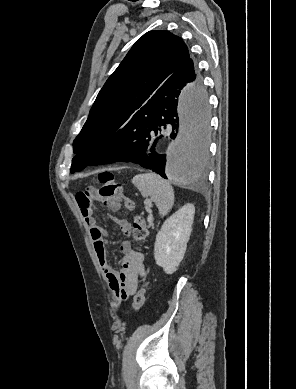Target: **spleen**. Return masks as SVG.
<instances>
[{
  "mask_svg": "<svg viewBox=\"0 0 296 389\" xmlns=\"http://www.w3.org/2000/svg\"><path fill=\"white\" fill-rule=\"evenodd\" d=\"M143 197H150L159 209V214L166 216L174 204V189L171 184L154 173L138 174L132 179Z\"/></svg>",
  "mask_w": 296,
  "mask_h": 389,
  "instance_id": "obj_1",
  "label": "spleen"
}]
</instances>
